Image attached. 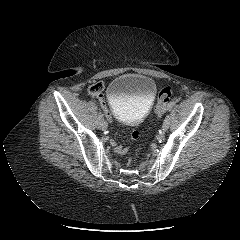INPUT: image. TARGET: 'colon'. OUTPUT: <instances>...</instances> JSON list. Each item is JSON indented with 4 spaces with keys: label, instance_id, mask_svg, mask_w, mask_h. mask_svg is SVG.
Returning a JSON list of instances; mask_svg holds the SVG:
<instances>
[{
    "label": "colon",
    "instance_id": "1",
    "mask_svg": "<svg viewBox=\"0 0 240 240\" xmlns=\"http://www.w3.org/2000/svg\"><path fill=\"white\" fill-rule=\"evenodd\" d=\"M103 86L101 83H96L90 86L89 93L97 96L98 93H102ZM172 96V90L170 87H165L160 90L157 98L155 112L157 117H162L166 111L167 103L169 102Z\"/></svg>",
    "mask_w": 240,
    "mask_h": 240
}]
</instances>
